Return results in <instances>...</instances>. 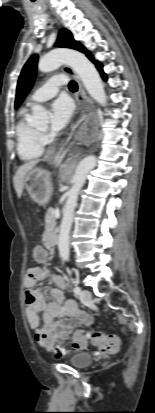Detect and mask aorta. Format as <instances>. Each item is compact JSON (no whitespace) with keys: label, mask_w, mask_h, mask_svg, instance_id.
I'll return each instance as SVG.
<instances>
[{"label":"aorta","mask_w":155,"mask_h":413,"mask_svg":"<svg viewBox=\"0 0 155 413\" xmlns=\"http://www.w3.org/2000/svg\"><path fill=\"white\" fill-rule=\"evenodd\" d=\"M68 64L81 79L88 94L100 105L107 103L104 86L94 65L85 55L70 49H56L41 57L38 69L41 72H51L62 64ZM47 120L46 110L40 106L32 107V123L34 125L44 124ZM97 158L94 155L85 157L78 164L72 178V186L67 192L66 205L63 209V218L59 234V254L64 261L69 260V234L73 222L74 210L77 205L78 195L83 187L88 173L95 168Z\"/></svg>","instance_id":"aorta-1"}]
</instances>
